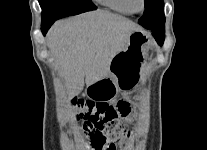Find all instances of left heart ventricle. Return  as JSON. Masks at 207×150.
Masks as SVG:
<instances>
[{
	"instance_id": "b2bd125f",
	"label": "left heart ventricle",
	"mask_w": 207,
	"mask_h": 150,
	"mask_svg": "<svg viewBox=\"0 0 207 150\" xmlns=\"http://www.w3.org/2000/svg\"><path fill=\"white\" fill-rule=\"evenodd\" d=\"M134 5H135L137 8H140V7H141V1H140V0H134Z\"/></svg>"
}]
</instances>
